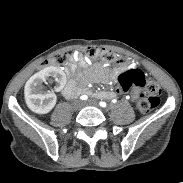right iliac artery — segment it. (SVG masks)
<instances>
[{"label": "right iliac artery", "mask_w": 183, "mask_h": 183, "mask_svg": "<svg viewBox=\"0 0 183 183\" xmlns=\"http://www.w3.org/2000/svg\"><path fill=\"white\" fill-rule=\"evenodd\" d=\"M88 97L86 96V95H82L81 97H80V99L81 100H86Z\"/></svg>", "instance_id": "obj_1"}]
</instances>
